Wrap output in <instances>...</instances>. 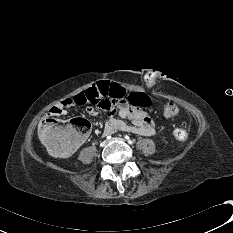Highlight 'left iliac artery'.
I'll use <instances>...</instances> for the list:
<instances>
[{"mask_svg": "<svg viewBox=\"0 0 233 233\" xmlns=\"http://www.w3.org/2000/svg\"><path fill=\"white\" fill-rule=\"evenodd\" d=\"M125 139H127V141H128V143H129V144L134 143V141H133V140H131V139H130V137H129V136H127V135L125 136Z\"/></svg>", "mask_w": 233, "mask_h": 233, "instance_id": "1", "label": "left iliac artery"}]
</instances>
